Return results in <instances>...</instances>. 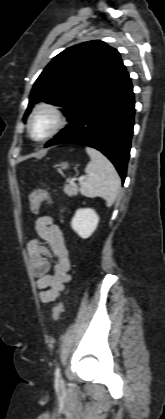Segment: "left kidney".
Masks as SVG:
<instances>
[{"label": "left kidney", "instance_id": "5707ae66", "mask_svg": "<svg viewBox=\"0 0 165 419\" xmlns=\"http://www.w3.org/2000/svg\"><path fill=\"white\" fill-rule=\"evenodd\" d=\"M99 217L91 208L78 209L71 221L73 230L83 239L89 238L96 230Z\"/></svg>", "mask_w": 165, "mask_h": 419}]
</instances>
